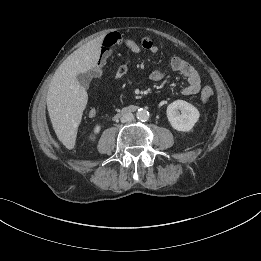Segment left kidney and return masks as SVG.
Masks as SVG:
<instances>
[{
  "label": "left kidney",
  "instance_id": "5707ae66",
  "mask_svg": "<svg viewBox=\"0 0 261 261\" xmlns=\"http://www.w3.org/2000/svg\"><path fill=\"white\" fill-rule=\"evenodd\" d=\"M166 113L171 126L181 132L191 131L200 117L198 109L184 100L169 104Z\"/></svg>",
  "mask_w": 261,
  "mask_h": 261
}]
</instances>
